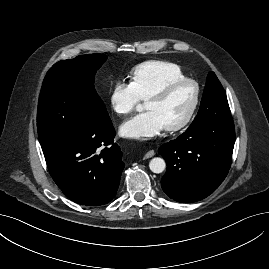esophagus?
<instances>
[{
	"instance_id": "1",
	"label": "esophagus",
	"mask_w": 269,
	"mask_h": 269,
	"mask_svg": "<svg viewBox=\"0 0 269 269\" xmlns=\"http://www.w3.org/2000/svg\"><path fill=\"white\" fill-rule=\"evenodd\" d=\"M154 154H155L154 150H150L145 154L144 158L145 159L151 158L152 156H154Z\"/></svg>"
}]
</instances>
